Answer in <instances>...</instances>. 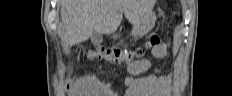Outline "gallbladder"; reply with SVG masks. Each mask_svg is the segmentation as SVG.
Returning <instances> with one entry per match:
<instances>
[{"instance_id":"gallbladder-1","label":"gallbladder","mask_w":232,"mask_h":96,"mask_svg":"<svg viewBox=\"0 0 232 96\" xmlns=\"http://www.w3.org/2000/svg\"><path fill=\"white\" fill-rule=\"evenodd\" d=\"M91 41L95 44L101 43L102 42V35L94 31L91 35Z\"/></svg>"}]
</instances>
